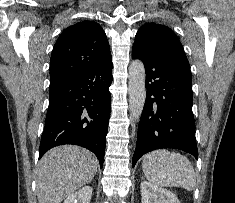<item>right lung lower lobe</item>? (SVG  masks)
I'll list each match as a JSON object with an SVG mask.
<instances>
[{"label": "right lung lower lobe", "mask_w": 235, "mask_h": 203, "mask_svg": "<svg viewBox=\"0 0 235 203\" xmlns=\"http://www.w3.org/2000/svg\"><path fill=\"white\" fill-rule=\"evenodd\" d=\"M112 59L49 89V107L39 158L49 149L74 144L92 151L103 166L111 111Z\"/></svg>", "instance_id": "obj_1"}]
</instances>
